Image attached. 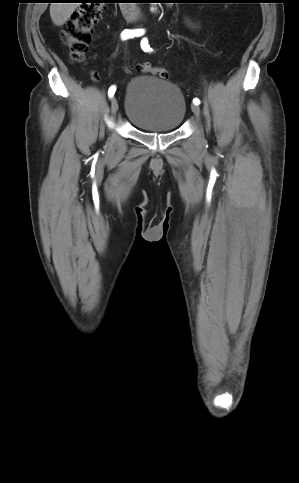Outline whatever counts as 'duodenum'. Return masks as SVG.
<instances>
[{"label": "duodenum", "mask_w": 299, "mask_h": 483, "mask_svg": "<svg viewBox=\"0 0 299 483\" xmlns=\"http://www.w3.org/2000/svg\"><path fill=\"white\" fill-rule=\"evenodd\" d=\"M122 5V13L129 21H138L141 17L138 6L133 0H124Z\"/></svg>", "instance_id": "obj_1"}]
</instances>
